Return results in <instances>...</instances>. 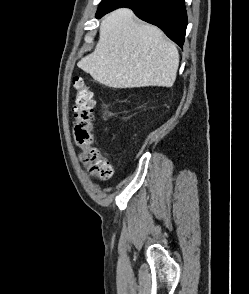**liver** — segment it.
Here are the masks:
<instances>
[{
  "label": "liver",
  "mask_w": 249,
  "mask_h": 294,
  "mask_svg": "<svg viewBox=\"0 0 249 294\" xmlns=\"http://www.w3.org/2000/svg\"><path fill=\"white\" fill-rule=\"evenodd\" d=\"M78 66L108 87H171L179 53L159 28L137 21L130 9L122 8L102 19L95 50Z\"/></svg>",
  "instance_id": "1"
}]
</instances>
